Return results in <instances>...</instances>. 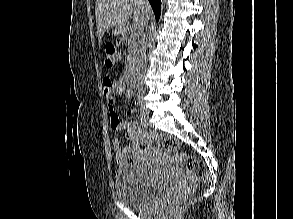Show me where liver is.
Here are the masks:
<instances>
[{
    "mask_svg": "<svg viewBox=\"0 0 293 219\" xmlns=\"http://www.w3.org/2000/svg\"><path fill=\"white\" fill-rule=\"evenodd\" d=\"M146 0H96L95 15L99 43L106 30L112 26L124 28L129 18L134 19L135 29L143 32L152 17Z\"/></svg>",
    "mask_w": 293,
    "mask_h": 219,
    "instance_id": "obj_1",
    "label": "liver"
}]
</instances>
